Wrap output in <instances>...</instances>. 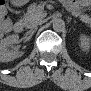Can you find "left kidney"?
<instances>
[{
	"label": "left kidney",
	"mask_w": 91,
	"mask_h": 91,
	"mask_svg": "<svg viewBox=\"0 0 91 91\" xmlns=\"http://www.w3.org/2000/svg\"><path fill=\"white\" fill-rule=\"evenodd\" d=\"M90 39H89V37H87V36H82L81 38H80V47L82 48V50L83 51H86V52H88L89 51V49H90Z\"/></svg>",
	"instance_id": "left-kidney-1"
}]
</instances>
